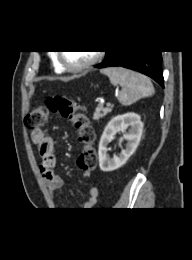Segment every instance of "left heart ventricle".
<instances>
[{
  "label": "left heart ventricle",
  "mask_w": 192,
  "mask_h": 260,
  "mask_svg": "<svg viewBox=\"0 0 192 260\" xmlns=\"http://www.w3.org/2000/svg\"><path fill=\"white\" fill-rule=\"evenodd\" d=\"M94 52L91 51H66L63 53L65 61L72 66H78L92 58Z\"/></svg>",
  "instance_id": "1"
}]
</instances>
